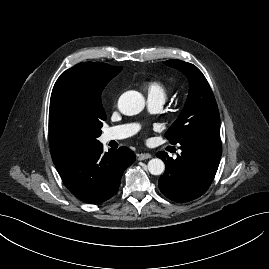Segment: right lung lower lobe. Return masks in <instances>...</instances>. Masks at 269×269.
<instances>
[{
  "label": "right lung lower lobe",
  "instance_id": "right-lung-lower-lobe-1",
  "mask_svg": "<svg viewBox=\"0 0 269 269\" xmlns=\"http://www.w3.org/2000/svg\"><path fill=\"white\" fill-rule=\"evenodd\" d=\"M135 161L127 147L103 152V145L91 147L55 167L68 190L80 200L98 204L115 195L124 170Z\"/></svg>",
  "mask_w": 269,
  "mask_h": 269
}]
</instances>
